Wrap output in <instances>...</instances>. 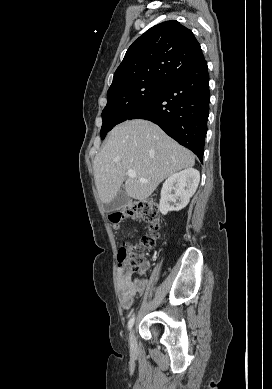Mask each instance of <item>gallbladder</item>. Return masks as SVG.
<instances>
[{
  "instance_id": "bac80fb5",
  "label": "gallbladder",
  "mask_w": 272,
  "mask_h": 389,
  "mask_svg": "<svg viewBox=\"0 0 272 389\" xmlns=\"http://www.w3.org/2000/svg\"><path fill=\"white\" fill-rule=\"evenodd\" d=\"M130 202V196L127 194L124 187H122L117 195L108 203H105V209L107 212L119 211L127 206Z\"/></svg>"
}]
</instances>
